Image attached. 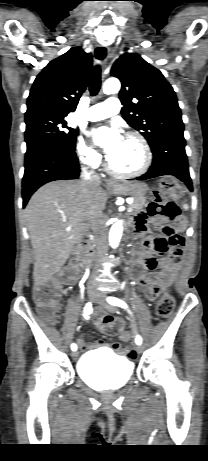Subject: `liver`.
<instances>
[{
    "label": "liver",
    "instance_id": "6515ba94",
    "mask_svg": "<svg viewBox=\"0 0 208 461\" xmlns=\"http://www.w3.org/2000/svg\"><path fill=\"white\" fill-rule=\"evenodd\" d=\"M108 194L87 181H55L39 188L25 209L34 254L35 284L43 285L65 264Z\"/></svg>",
    "mask_w": 208,
    "mask_h": 461
}]
</instances>
